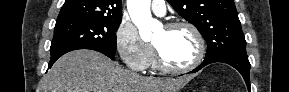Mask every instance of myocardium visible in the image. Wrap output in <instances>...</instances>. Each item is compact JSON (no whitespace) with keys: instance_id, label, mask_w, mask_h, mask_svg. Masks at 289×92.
<instances>
[{"instance_id":"1","label":"myocardium","mask_w":289,"mask_h":92,"mask_svg":"<svg viewBox=\"0 0 289 92\" xmlns=\"http://www.w3.org/2000/svg\"><path fill=\"white\" fill-rule=\"evenodd\" d=\"M165 28L167 29H176V28H186L192 32L197 42V55L192 63L184 67H175L169 65L161 55L160 51L154 45L155 53H156V61L158 66L169 73H186L196 69L204 60L206 53V44L204 37L200 30L191 22L188 21H174L168 23Z\"/></svg>"}]
</instances>
